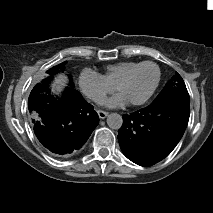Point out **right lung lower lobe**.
I'll return each mask as SVG.
<instances>
[{
  "mask_svg": "<svg viewBox=\"0 0 213 213\" xmlns=\"http://www.w3.org/2000/svg\"><path fill=\"white\" fill-rule=\"evenodd\" d=\"M51 79L34 87L28 98V109L34 132L51 152L68 155L87 141L99 123L93 106L70 85L61 96L50 94Z\"/></svg>",
  "mask_w": 213,
  "mask_h": 213,
  "instance_id": "98d812e1",
  "label": "right lung lower lobe"
}]
</instances>
